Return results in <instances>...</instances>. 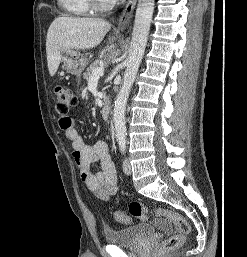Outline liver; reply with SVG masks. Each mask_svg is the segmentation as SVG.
Segmentation results:
<instances>
[{"instance_id":"1","label":"liver","mask_w":247,"mask_h":257,"mask_svg":"<svg viewBox=\"0 0 247 257\" xmlns=\"http://www.w3.org/2000/svg\"><path fill=\"white\" fill-rule=\"evenodd\" d=\"M110 29L111 24L103 19L57 17L51 23L46 38L49 74H56L65 51L94 48Z\"/></svg>"}]
</instances>
